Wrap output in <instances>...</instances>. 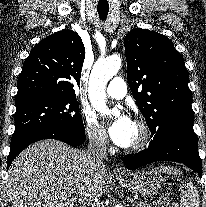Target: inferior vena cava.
<instances>
[{
    "mask_svg": "<svg viewBox=\"0 0 206 207\" xmlns=\"http://www.w3.org/2000/svg\"><path fill=\"white\" fill-rule=\"evenodd\" d=\"M87 160L91 169L105 170L103 160L107 159V137L100 131H94L89 134L88 150L86 151ZM83 207H100L87 199L82 203Z\"/></svg>",
    "mask_w": 206,
    "mask_h": 207,
    "instance_id": "602c4592",
    "label": "inferior vena cava"
}]
</instances>
